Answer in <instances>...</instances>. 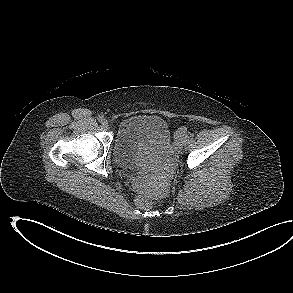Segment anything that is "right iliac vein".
I'll return each mask as SVG.
<instances>
[{
    "mask_svg": "<svg viewBox=\"0 0 293 293\" xmlns=\"http://www.w3.org/2000/svg\"><path fill=\"white\" fill-rule=\"evenodd\" d=\"M102 125H103V127L108 128L109 127V122L106 119H103Z\"/></svg>",
    "mask_w": 293,
    "mask_h": 293,
    "instance_id": "obj_1",
    "label": "right iliac vein"
}]
</instances>
